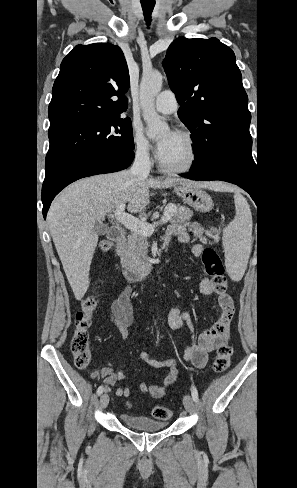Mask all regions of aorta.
Listing matches in <instances>:
<instances>
[{
	"label": "aorta",
	"instance_id": "1",
	"mask_svg": "<svg viewBox=\"0 0 297 488\" xmlns=\"http://www.w3.org/2000/svg\"><path fill=\"white\" fill-rule=\"evenodd\" d=\"M163 77L159 72H145L140 82V103L147 133L153 137L168 128L167 123L155 111V96L162 88Z\"/></svg>",
	"mask_w": 297,
	"mask_h": 488
}]
</instances>
